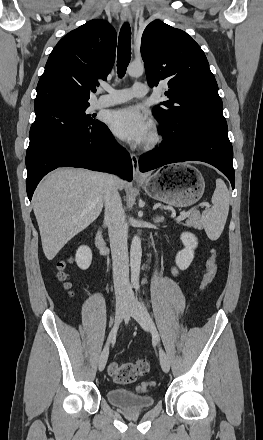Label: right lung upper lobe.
Masks as SVG:
<instances>
[{
  "label": "right lung upper lobe",
  "instance_id": "right-lung-upper-lobe-1",
  "mask_svg": "<svg viewBox=\"0 0 263 440\" xmlns=\"http://www.w3.org/2000/svg\"><path fill=\"white\" fill-rule=\"evenodd\" d=\"M116 31L94 19L63 37L52 50L37 85L34 108L88 103L89 92L106 80L115 61Z\"/></svg>",
  "mask_w": 263,
  "mask_h": 440
}]
</instances>
